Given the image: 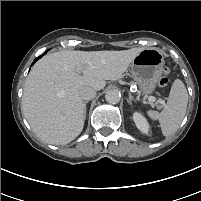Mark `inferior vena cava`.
<instances>
[{
    "mask_svg": "<svg viewBox=\"0 0 201 201\" xmlns=\"http://www.w3.org/2000/svg\"><path fill=\"white\" fill-rule=\"evenodd\" d=\"M79 94L82 100L88 101L93 99L96 96V91L92 89L91 87H83L79 91Z\"/></svg>",
    "mask_w": 201,
    "mask_h": 201,
    "instance_id": "inferior-vena-cava-1",
    "label": "inferior vena cava"
}]
</instances>
